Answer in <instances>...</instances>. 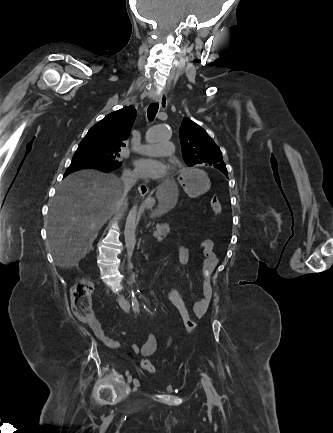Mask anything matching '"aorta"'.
<instances>
[{
	"label": "aorta",
	"mask_w": 333,
	"mask_h": 433,
	"mask_svg": "<svg viewBox=\"0 0 333 433\" xmlns=\"http://www.w3.org/2000/svg\"><path fill=\"white\" fill-rule=\"evenodd\" d=\"M171 137L170 129L161 125L151 127L146 133L147 141L150 143H165L168 142ZM137 211L138 205L135 204L129 211L125 223L124 236L128 257L132 256L136 245L135 231L137 226Z\"/></svg>",
	"instance_id": "762f6f07"
}]
</instances>
